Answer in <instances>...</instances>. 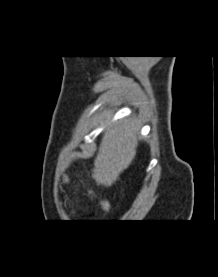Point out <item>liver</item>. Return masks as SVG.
<instances>
[{
	"label": "liver",
	"mask_w": 218,
	"mask_h": 277,
	"mask_svg": "<svg viewBox=\"0 0 218 277\" xmlns=\"http://www.w3.org/2000/svg\"><path fill=\"white\" fill-rule=\"evenodd\" d=\"M138 128L129 120L108 128L94 161L92 178L97 185L110 187L136 156Z\"/></svg>",
	"instance_id": "liver-1"
}]
</instances>
